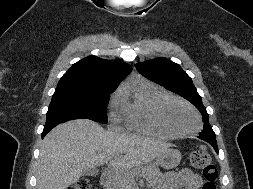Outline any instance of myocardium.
<instances>
[{
    "instance_id": "f54148a6",
    "label": "myocardium",
    "mask_w": 253,
    "mask_h": 189,
    "mask_svg": "<svg viewBox=\"0 0 253 189\" xmlns=\"http://www.w3.org/2000/svg\"><path fill=\"white\" fill-rule=\"evenodd\" d=\"M167 102H176V103L182 104L183 106L191 110L196 118V122H197L196 127L194 129L187 130V131H179L173 128L167 122L163 114V107ZM152 119L156 126L164 130L168 134L172 136H176V137H183V136L195 134L201 127V118L196 108L192 106L190 103H188L187 101L171 94H166L156 101L152 109Z\"/></svg>"
}]
</instances>
